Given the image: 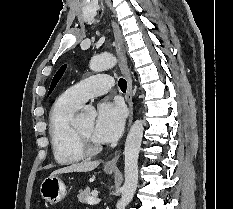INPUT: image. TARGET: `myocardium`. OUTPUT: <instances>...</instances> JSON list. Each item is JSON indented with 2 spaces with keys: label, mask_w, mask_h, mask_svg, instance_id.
<instances>
[{
  "label": "myocardium",
  "mask_w": 233,
  "mask_h": 209,
  "mask_svg": "<svg viewBox=\"0 0 233 209\" xmlns=\"http://www.w3.org/2000/svg\"><path fill=\"white\" fill-rule=\"evenodd\" d=\"M74 133L77 146L85 155H96L102 150V145L92 142L81 132L78 125H74Z\"/></svg>",
  "instance_id": "myocardium-1"
}]
</instances>
